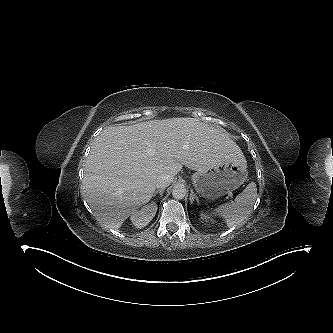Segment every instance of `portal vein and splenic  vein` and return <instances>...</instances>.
<instances>
[{
  "instance_id": "1",
  "label": "portal vein and splenic vein",
  "mask_w": 333,
  "mask_h": 333,
  "mask_svg": "<svg viewBox=\"0 0 333 333\" xmlns=\"http://www.w3.org/2000/svg\"><path fill=\"white\" fill-rule=\"evenodd\" d=\"M229 196H230V197H232V194H231V193H229Z\"/></svg>"
}]
</instances>
